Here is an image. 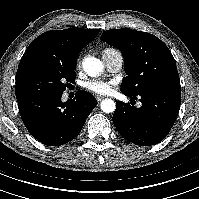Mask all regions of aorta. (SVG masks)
<instances>
[{
	"label": "aorta",
	"instance_id": "aorta-1",
	"mask_svg": "<svg viewBox=\"0 0 199 199\" xmlns=\"http://www.w3.org/2000/svg\"><path fill=\"white\" fill-rule=\"evenodd\" d=\"M83 69L90 76H96L103 70L102 62L96 57H87L83 61ZM101 110L105 113H112L116 109V104L112 99H105L100 104Z\"/></svg>",
	"mask_w": 199,
	"mask_h": 199
}]
</instances>
